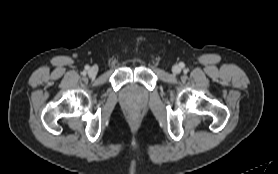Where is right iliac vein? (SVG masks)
<instances>
[{
    "label": "right iliac vein",
    "instance_id": "63e3f726",
    "mask_svg": "<svg viewBox=\"0 0 278 174\" xmlns=\"http://www.w3.org/2000/svg\"><path fill=\"white\" fill-rule=\"evenodd\" d=\"M97 72H98V69L96 67H92L88 70V75L90 77H95Z\"/></svg>",
    "mask_w": 278,
    "mask_h": 174
}]
</instances>
